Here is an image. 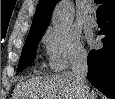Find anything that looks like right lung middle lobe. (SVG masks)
<instances>
[{
    "instance_id": "obj_1",
    "label": "right lung middle lobe",
    "mask_w": 115,
    "mask_h": 99,
    "mask_svg": "<svg viewBox=\"0 0 115 99\" xmlns=\"http://www.w3.org/2000/svg\"><path fill=\"white\" fill-rule=\"evenodd\" d=\"M43 34H36L28 36L23 47L17 72L24 70L31 65L34 60L36 48Z\"/></svg>"
}]
</instances>
